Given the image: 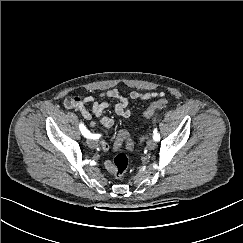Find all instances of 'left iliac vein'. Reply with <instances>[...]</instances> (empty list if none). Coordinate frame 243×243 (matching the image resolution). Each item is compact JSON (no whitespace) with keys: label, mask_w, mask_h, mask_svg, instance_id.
<instances>
[{"label":"left iliac vein","mask_w":243,"mask_h":243,"mask_svg":"<svg viewBox=\"0 0 243 243\" xmlns=\"http://www.w3.org/2000/svg\"><path fill=\"white\" fill-rule=\"evenodd\" d=\"M147 147H148L149 149H154V148L156 147V142H155L153 139H149V140L147 141Z\"/></svg>","instance_id":"obj_1"}]
</instances>
